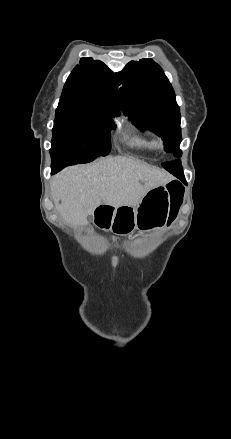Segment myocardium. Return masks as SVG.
Wrapping results in <instances>:
<instances>
[{"label": "myocardium", "instance_id": "obj_1", "mask_svg": "<svg viewBox=\"0 0 231 439\" xmlns=\"http://www.w3.org/2000/svg\"><path fill=\"white\" fill-rule=\"evenodd\" d=\"M158 145L159 146H162L163 145V141L160 139V140H158Z\"/></svg>", "mask_w": 231, "mask_h": 439}]
</instances>
